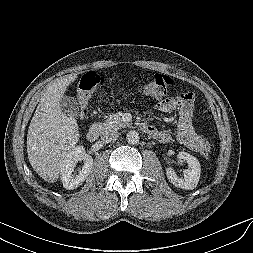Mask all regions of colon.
<instances>
[{"instance_id":"obj_1","label":"colon","mask_w":253,"mask_h":253,"mask_svg":"<svg viewBox=\"0 0 253 253\" xmlns=\"http://www.w3.org/2000/svg\"><path fill=\"white\" fill-rule=\"evenodd\" d=\"M101 84V77L94 72H90L83 76L77 84L75 88V96L80 118L84 116L90 99L99 94L98 89ZM171 85L172 79L169 76L153 74L144 85L139 87L138 92L148 98L159 99L166 96ZM177 98L180 100L194 101V96L190 92L181 93ZM199 151L203 156H209L211 152L210 144L202 139Z\"/></svg>"}]
</instances>
